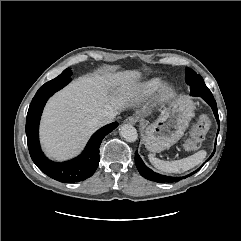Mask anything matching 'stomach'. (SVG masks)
I'll return each mask as SVG.
<instances>
[{
    "mask_svg": "<svg viewBox=\"0 0 241 241\" xmlns=\"http://www.w3.org/2000/svg\"><path fill=\"white\" fill-rule=\"evenodd\" d=\"M195 109L193 101L181 96L161 111L153 122H142L144 144L151 152H161L178 142L187 129Z\"/></svg>",
    "mask_w": 241,
    "mask_h": 241,
    "instance_id": "0dacf381",
    "label": "stomach"
}]
</instances>
